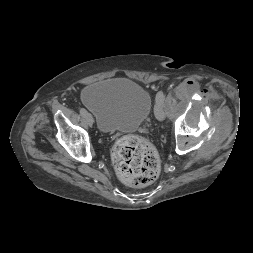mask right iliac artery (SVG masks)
Wrapping results in <instances>:
<instances>
[{
    "mask_svg": "<svg viewBox=\"0 0 253 253\" xmlns=\"http://www.w3.org/2000/svg\"><path fill=\"white\" fill-rule=\"evenodd\" d=\"M79 112L82 116H84L87 113V111L84 108H80Z\"/></svg>",
    "mask_w": 253,
    "mask_h": 253,
    "instance_id": "82829eb1",
    "label": "right iliac artery"
}]
</instances>
